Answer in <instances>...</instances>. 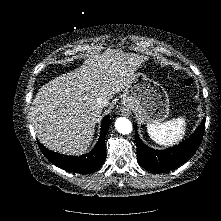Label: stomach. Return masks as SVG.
Returning <instances> with one entry per match:
<instances>
[{
  "label": "stomach",
  "mask_w": 221,
  "mask_h": 221,
  "mask_svg": "<svg viewBox=\"0 0 221 221\" xmlns=\"http://www.w3.org/2000/svg\"><path fill=\"white\" fill-rule=\"evenodd\" d=\"M122 105L132 110L147 124L161 123L169 115V99L165 89L146 74L138 72L125 88Z\"/></svg>",
  "instance_id": "stomach-1"
}]
</instances>
